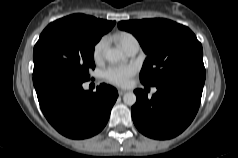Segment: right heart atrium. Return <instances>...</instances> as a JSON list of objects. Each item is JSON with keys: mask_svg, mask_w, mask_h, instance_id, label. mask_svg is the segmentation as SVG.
I'll list each match as a JSON object with an SVG mask.
<instances>
[{"mask_svg": "<svg viewBox=\"0 0 238 158\" xmlns=\"http://www.w3.org/2000/svg\"><path fill=\"white\" fill-rule=\"evenodd\" d=\"M107 45V39L105 37L101 38L96 42V44L93 47L92 55L95 61H99L102 59L105 48Z\"/></svg>", "mask_w": 238, "mask_h": 158, "instance_id": "1", "label": "right heart atrium"}]
</instances>
